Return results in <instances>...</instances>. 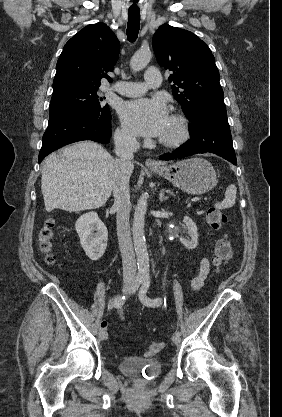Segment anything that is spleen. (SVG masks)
<instances>
[{"mask_svg":"<svg viewBox=\"0 0 282 417\" xmlns=\"http://www.w3.org/2000/svg\"><path fill=\"white\" fill-rule=\"evenodd\" d=\"M237 188L235 184H229L226 188L225 196L222 202H216V209H230L235 204Z\"/></svg>","mask_w":282,"mask_h":417,"instance_id":"spleen-1","label":"spleen"}]
</instances>
